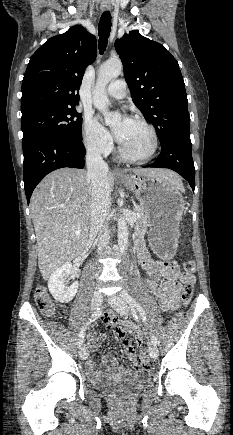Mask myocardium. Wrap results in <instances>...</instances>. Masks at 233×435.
Masks as SVG:
<instances>
[{
    "label": "myocardium",
    "mask_w": 233,
    "mask_h": 435,
    "mask_svg": "<svg viewBox=\"0 0 233 435\" xmlns=\"http://www.w3.org/2000/svg\"><path fill=\"white\" fill-rule=\"evenodd\" d=\"M131 121L134 122H138L142 125H144L148 131L150 132L151 138H152V145L150 150L143 156H131L129 155L121 146V144L119 143L118 145V152L120 157L130 163H146L148 161H150L156 154L157 150H158V135L156 132V129L154 128V126L148 122L146 119L140 117V116H133L132 118H130Z\"/></svg>",
    "instance_id": "myocardium-1"
}]
</instances>
